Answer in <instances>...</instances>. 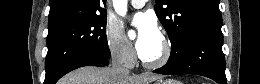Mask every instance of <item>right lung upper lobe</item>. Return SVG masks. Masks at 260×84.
I'll return each instance as SVG.
<instances>
[{"label": "right lung upper lobe", "mask_w": 260, "mask_h": 84, "mask_svg": "<svg viewBox=\"0 0 260 84\" xmlns=\"http://www.w3.org/2000/svg\"><path fill=\"white\" fill-rule=\"evenodd\" d=\"M106 0H50L48 28L104 12Z\"/></svg>", "instance_id": "1"}]
</instances>
